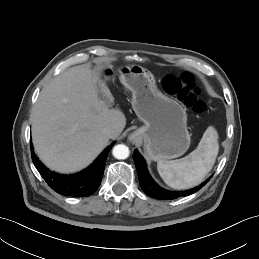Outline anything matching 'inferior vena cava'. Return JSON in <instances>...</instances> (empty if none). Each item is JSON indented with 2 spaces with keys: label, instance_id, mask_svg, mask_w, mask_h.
<instances>
[{
  "label": "inferior vena cava",
  "instance_id": "1",
  "mask_svg": "<svg viewBox=\"0 0 259 259\" xmlns=\"http://www.w3.org/2000/svg\"><path fill=\"white\" fill-rule=\"evenodd\" d=\"M104 133L109 137V138H114L117 135V132L114 128L112 127H106L104 129Z\"/></svg>",
  "mask_w": 259,
  "mask_h": 259
}]
</instances>
